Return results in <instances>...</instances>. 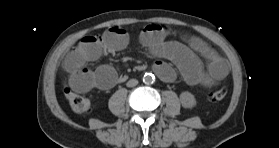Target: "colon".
<instances>
[{"label": "colon", "mask_w": 279, "mask_h": 148, "mask_svg": "<svg viewBox=\"0 0 279 148\" xmlns=\"http://www.w3.org/2000/svg\"><path fill=\"white\" fill-rule=\"evenodd\" d=\"M227 94V88L222 86L214 89L210 92L209 98L212 101H221L225 98ZM66 95L69 101V105L73 112L76 114H86L90 110V101L85 96L80 94L71 92L69 90L66 91Z\"/></svg>", "instance_id": "5ec220e1"}]
</instances>
